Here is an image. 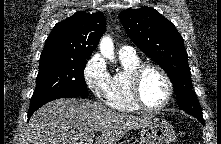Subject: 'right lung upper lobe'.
<instances>
[{
    "label": "right lung upper lobe",
    "instance_id": "cb5924a9",
    "mask_svg": "<svg viewBox=\"0 0 221 144\" xmlns=\"http://www.w3.org/2000/svg\"><path fill=\"white\" fill-rule=\"evenodd\" d=\"M105 29L106 21L102 13L78 12L54 26L40 59H87Z\"/></svg>",
    "mask_w": 221,
    "mask_h": 144
}]
</instances>
